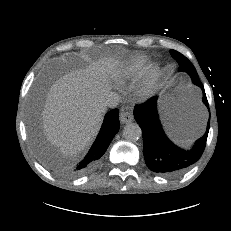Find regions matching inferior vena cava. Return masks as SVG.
<instances>
[{"label": "inferior vena cava", "mask_w": 231, "mask_h": 231, "mask_svg": "<svg viewBox=\"0 0 231 231\" xmlns=\"http://www.w3.org/2000/svg\"><path fill=\"white\" fill-rule=\"evenodd\" d=\"M119 100H120V97L117 93L110 92L109 94H107L104 103H105V106L109 108H114L118 105Z\"/></svg>", "instance_id": "obj_1"}]
</instances>
